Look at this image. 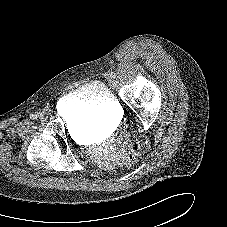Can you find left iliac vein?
Listing matches in <instances>:
<instances>
[{
    "mask_svg": "<svg viewBox=\"0 0 227 227\" xmlns=\"http://www.w3.org/2000/svg\"><path fill=\"white\" fill-rule=\"evenodd\" d=\"M111 84L116 85V81L114 79H111Z\"/></svg>",
    "mask_w": 227,
    "mask_h": 227,
    "instance_id": "1",
    "label": "left iliac vein"
}]
</instances>
